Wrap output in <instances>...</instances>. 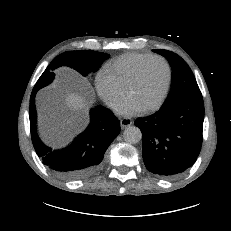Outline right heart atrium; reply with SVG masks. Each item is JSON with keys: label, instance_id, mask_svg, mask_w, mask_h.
Segmentation results:
<instances>
[{"label": "right heart atrium", "instance_id": "right-heart-atrium-1", "mask_svg": "<svg viewBox=\"0 0 231 231\" xmlns=\"http://www.w3.org/2000/svg\"><path fill=\"white\" fill-rule=\"evenodd\" d=\"M95 86L100 98L111 108L116 107L126 93V90L104 69L98 72Z\"/></svg>", "mask_w": 231, "mask_h": 231}]
</instances>
